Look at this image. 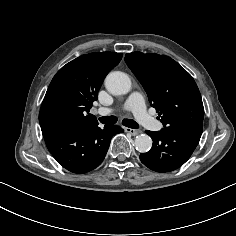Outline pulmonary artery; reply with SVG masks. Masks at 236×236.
Here are the masks:
<instances>
[{
  "instance_id": "pulmonary-artery-1",
  "label": "pulmonary artery",
  "mask_w": 236,
  "mask_h": 236,
  "mask_svg": "<svg viewBox=\"0 0 236 236\" xmlns=\"http://www.w3.org/2000/svg\"><path fill=\"white\" fill-rule=\"evenodd\" d=\"M124 108L131 111L135 118L143 125L150 124L153 118L147 113L144 98L141 93L133 92L125 102ZM113 112L111 108L101 107L97 113L101 116L109 115Z\"/></svg>"
}]
</instances>
